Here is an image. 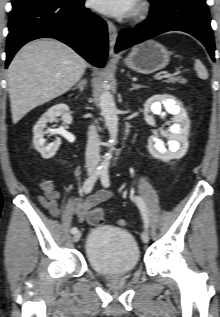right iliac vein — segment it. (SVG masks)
I'll use <instances>...</instances> for the list:
<instances>
[{
  "label": "right iliac vein",
  "instance_id": "63e3f726",
  "mask_svg": "<svg viewBox=\"0 0 220 317\" xmlns=\"http://www.w3.org/2000/svg\"><path fill=\"white\" fill-rule=\"evenodd\" d=\"M81 238V231H77L73 236V241L78 242Z\"/></svg>",
  "mask_w": 220,
  "mask_h": 317
}]
</instances>
